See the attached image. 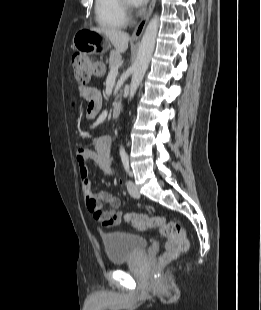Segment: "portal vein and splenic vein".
Instances as JSON below:
<instances>
[{
	"mask_svg": "<svg viewBox=\"0 0 261 310\" xmlns=\"http://www.w3.org/2000/svg\"><path fill=\"white\" fill-rule=\"evenodd\" d=\"M118 75V67L110 68V72L108 73V77H116Z\"/></svg>",
	"mask_w": 261,
	"mask_h": 310,
	"instance_id": "obj_1",
	"label": "portal vein and splenic vein"
}]
</instances>
